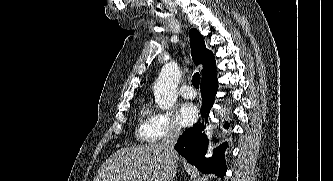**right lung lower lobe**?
<instances>
[{
  "mask_svg": "<svg viewBox=\"0 0 333 181\" xmlns=\"http://www.w3.org/2000/svg\"><path fill=\"white\" fill-rule=\"evenodd\" d=\"M217 89V79L201 83L202 120L199 124H195L192 128L187 129L179 137L174 148L189 163L195 165L198 170L223 177L226 173L224 150L227 147V143L216 148L214 150V155L207 159L205 158V154L207 152L208 139L204 133H202L205 128L204 125L208 121V114L214 103ZM225 127H229V125L226 123Z\"/></svg>",
  "mask_w": 333,
  "mask_h": 181,
  "instance_id": "1",
  "label": "right lung lower lobe"
}]
</instances>
